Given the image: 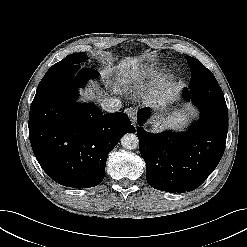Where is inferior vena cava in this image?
<instances>
[{
	"instance_id": "1",
	"label": "inferior vena cava",
	"mask_w": 247,
	"mask_h": 247,
	"mask_svg": "<svg viewBox=\"0 0 247 247\" xmlns=\"http://www.w3.org/2000/svg\"><path fill=\"white\" fill-rule=\"evenodd\" d=\"M102 109L108 113L118 112L121 109V101L118 98H105L100 103Z\"/></svg>"
}]
</instances>
